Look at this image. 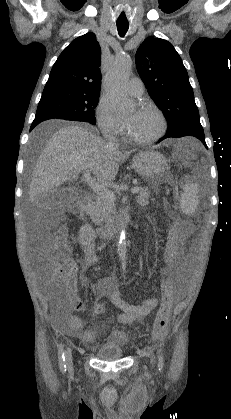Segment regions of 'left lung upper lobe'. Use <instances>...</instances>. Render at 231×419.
<instances>
[{
	"mask_svg": "<svg viewBox=\"0 0 231 419\" xmlns=\"http://www.w3.org/2000/svg\"><path fill=\"white\" fill-rule=\"evenodd\" d=\"M137 71L149 95L168 121L166 134L201 126L198 108L183 62L173 45L148 37L136 52Z\"/></svg>",
	"mask_w": 231,
	"mask_h": 419,
	"instance_id": "left-lung-upper-lobe-1",
	"label": "left lung upper lobe"
}]
</instances>
